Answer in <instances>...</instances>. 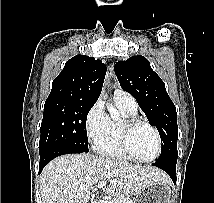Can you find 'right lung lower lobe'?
Listing matches in <instances>:
<instances>
[{
    "mask_svg": "<svg viewBox=\"0 0 214 203\" xmlns=\"http://www.w3.org/2000/svg\"><path fill=\"white\" fill-rule=\"evenodd\" d=\"M71 153H82V151L68 148L65 146H57L53 148H49L40 153V163H39V173L45 167V165L50 162L52 159L64 155V154H71Z\"/></svg>",
    "mask_w": 214,
    "mask_h": 203,
    "instance_id": "98d812e1",
    "label": "right lung lower lobe"
}]
</instances>
